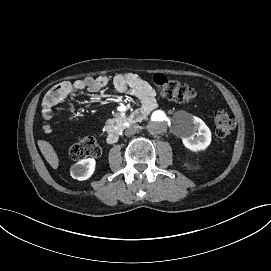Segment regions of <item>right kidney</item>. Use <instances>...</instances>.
<instances>
[{
	"mask_svg": "<svg viewBox=\"0 0 271 271\" xmlns=\"http://www.w3.org/2000/svg\"><path fill=\"white\" fill-rule=\"evenodd\" d=\"M94 165V159H82L71 165L70 175L77 180H86L92 175Z\"/></svg>",
	"mask_w": 271,
	"mask_h": 271,
	"instance_id": "right-kidney-1",
	"label": "right kidney"
}]
</instances>
